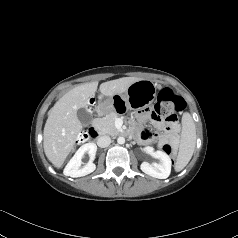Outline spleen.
Returning <instances> with one entry per match:
<instances>
[{
    "instance_id": "3e777b00",
    "label": "spleen",
    "mask_w": 238,
    "mask_h": 238,
    "mask_svg": "<svg viewBox=\"0 0 238 238\" xmlns=\"http://www.w3.org/2000/svg\"><path fill=\"white\" fill-rule=\"evenodd\" d=\"M196 144V129L192 116L184 113L182 116V134L175 170L177 172L184 169L192 158Z\"/></svg>"
}]
</instances>
